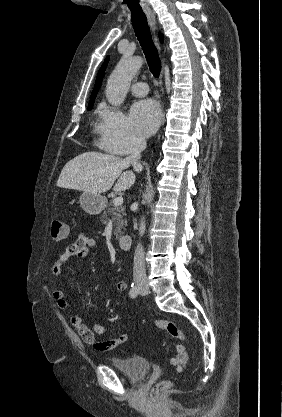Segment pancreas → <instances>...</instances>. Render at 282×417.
I'll list each match as a JSON object with an SVG mask.
<instances>
[{"label": "pancreas", "instance_id": "obj_1", "mask_svg": "<svg viewBox=\"0 0 282 417\" xmlns=\"http://www.w3.org/2000/svg\"><path fill=\"white\" fill-rule=\"evenodd\" d=\"M108 215H114V235H115V239L117 241V239H120V235H122L123 231L122 229H124V225H126L127 221L126 219H124L126 213H125V206H122V204H118V206H114L113 204V200H111V202H109L108 204V209H106V211H104L103 215H100V221H102V223H107L109 217Z\"/></svg>", "mask_w": 282, "mask_h": 417}]
</instances>
